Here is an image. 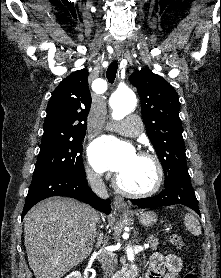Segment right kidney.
<instances>
[{"label":"right kidney","mask_w":221,"mask_h":278,"mask_svg":"<svg viewBox=\"0 0 221 278\" xmlns=\"http://www.w3.org/2000/svg\"><path fill=\"white\" fill-rule=\"evenodd\" d=\"M65 278H81V273L79 271H73L69 275H67Z\"/></svg>","instance_id":"obj_1"}]
</instances>
